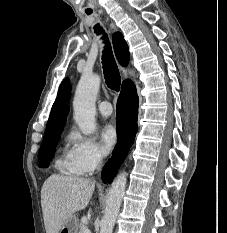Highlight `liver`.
<instances>
[{"instance_id": "obj_1", "label": "liver", "mask_w": 227, "mask_h": 233, "mask_svg": "<svg viewBox=\"0 0 227 233\" xmlns=\"http://www.w3.org/2000/svg\"><path fill=\"white\" fill-rule=\"evenodd\" d=\"M91 179L52 174L41 189V206L46 233H59L64 222L85 209L94 192Z\"/></svg>"}]
</instances>
